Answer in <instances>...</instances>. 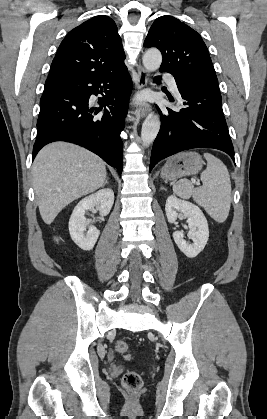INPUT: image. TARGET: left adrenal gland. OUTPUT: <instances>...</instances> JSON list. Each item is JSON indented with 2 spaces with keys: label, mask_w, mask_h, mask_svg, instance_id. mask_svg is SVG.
Listing matches in <instances>:
<instances>
[{
  "label": "left adrenal gland",
  "mask_w": 267,
  "mask_h": 419,
  "mask_svg": "<svg viewBox=\"0 0 267 419\" xmlns=\"http://www.w3.org/2000/svg\"><path fill=\"white\" fill-rule=\"evenodd\" d=\"M161 190H166L163 186L161 187Z\"/></svg>",
  "instance_id": "left-adrenal-gland-1"
}]
</instances>
